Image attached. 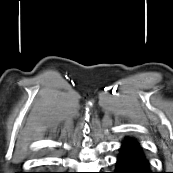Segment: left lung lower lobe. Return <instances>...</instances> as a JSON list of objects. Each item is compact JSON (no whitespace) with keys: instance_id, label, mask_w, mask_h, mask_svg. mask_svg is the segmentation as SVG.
Masks as SVG:
<instances>
[{"instance_id":"0a47b994","label":"left lung lower lobe","mask_w":173,"mask_h":173,"mask_svg":"<svg viewBox=\"0 0 173 173\" xmlns=\"http://www.w3.org/2000/svg\"><path fill=\"white\" fill-rule=\"evenodd\" d=\"M114 173H153L139 143L124 141L121 144Z\"/></svg>"}]
</instances>
